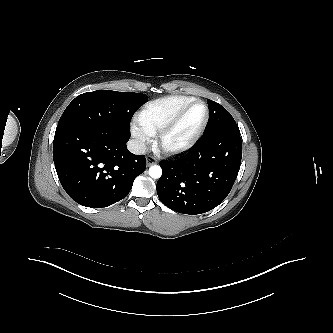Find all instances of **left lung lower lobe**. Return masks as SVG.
I'll use <instances>...</instances> for the list:
<instances>
[{"instance_id":"1","label":"left lung lower lobe","mask_w":333,"mask_h":333,"mask_svg":"<svg viewBox=\"0 0 333 333\" xmlns=\"http://www.w3.org/2000/svg\"><path fill=\"white\" fill-rule=\"evenodd\" d=\"M242 158L240 132L203 134L182 158L162 161L157 182L160 201L183 214H201L218 206L229 194Z\"/></svg>"}]
</instances>
